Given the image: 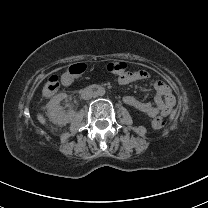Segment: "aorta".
Returning a JSON list of instances; mask_svg holds the SVG:
<instances>
[{"mask_svg":"<svg viewBox=\"0 0 208 208\" xmlns=\"http://www.w3.org/2000/svg\"><path fill=\"white\" fill-rule=\"evenodd\" d=\"M96 93H97V95H99V96H103V95H105L106 90H105V88H103V87H99V88H97Z\"/></svg>","mask_w":208,"mask_h":208,"instance_id":"1","label":"aorta"}]
</instances>
